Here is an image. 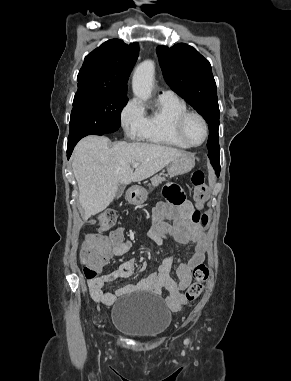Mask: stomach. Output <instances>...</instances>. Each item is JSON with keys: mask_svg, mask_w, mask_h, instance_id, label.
<instances>
[{"mask_svg": "<svg viewBox=\"0 0 291 381\" xmlns=\"http://www.w3.org/2000/svg\"><path fill=\"white\" fill-rule=\"evenodd\" d=\"M195 165L194 159L189 155H183L173 160L168 166V174L171 177L182 175L189 172ZM148 192L140 187H135L132 190L128 200L131 204H142L147 200Z\"/></svg>", "mask_w": 291, "mask_h": 381, "instance_id": "0dacf381", "label": "stomach"}]
</instances>
